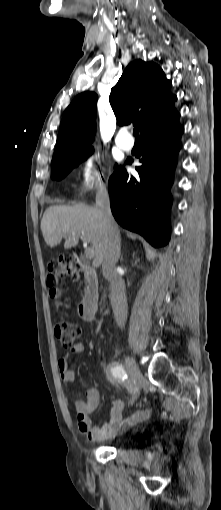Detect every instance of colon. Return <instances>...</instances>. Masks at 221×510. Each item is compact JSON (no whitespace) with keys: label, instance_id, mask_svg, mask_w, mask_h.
I'll return each instance as SVG.
<instances>
[{"label":"colon","instance_id":"1","mask_svg":"<svg viewBox=\"0 0 221 510\" xmlns=\"http://www.w3.org/2000/svg\"><path fill=\"white\" fill-rule=\"evenodd\" d=\"M79 276V266L70 255H63L58 259L49 262L47 281L50 296L53 299L59 298L61 294L59 288L60 283L66 277L77 279ZM54 333L63 346L71 347L80 335V327L75 322L59 320L54 325ZM79 429L81 430L80 427Z\"/></svg>","mask_w":221,"mask_h":510}]
</instances>
